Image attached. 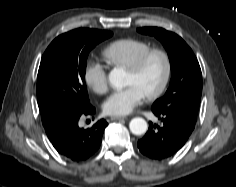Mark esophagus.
Masks as SVG:
<instances>
[{"label":"esophagus","instance_id":"esophagus-1","mask_svg":"<svg viewBox=\"0 0 236 187\" xmlns=\"http://www.w3.org/2000/svg\"><path fill=\"white\" fill-rule=\"evenodd\" d=\"M112 121H115V120H123V119H126V117L124 116H112L110 118Z\"/></svg>","mask_w":236,"mask_h":187}]
</instances>
